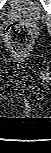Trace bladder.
I'll return each instance as SVG.
<instances>
[{
    "instance_id": "obj_1",
    "label": "bladder",
    "mask_w": 51,
    "mask_h": 153,
    "mask_svg": "<svg viewBox=\"0 0 51 153\" xmlns=\"http://www.w3.org/2000/svg\"><path fill=\"white\" fill-rule=\"evenodd\" d=\"M8 13L29 21L38 20L42 15V8L37 0H13Z\"/></svg>"
}]
</instances>
